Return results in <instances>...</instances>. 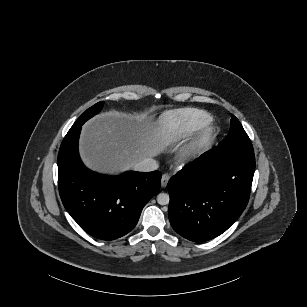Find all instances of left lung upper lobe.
I'll use <instances>...</instances> for the list:
<instances>
[{
  "mask_svg": "<svg viewBox=\"0 0 307 307\" xmlns=\"http://www.w3.org/2000/svg\"><path fill=\"white\" fill-rule=\"evenodd\" d=\"M216 148L253 150L247 133L235 116L231 118L230 132Z\"/></svg>",
  "mask_w": 307,
  "mask_h": 307,
  "instance_id": "1",
  "label": "left lung upper lobe"
}]
</instances>
